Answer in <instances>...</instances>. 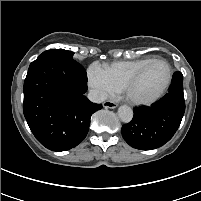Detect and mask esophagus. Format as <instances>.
<instances>
[{"instance_id": "1", "label": "esophagus", "mask_w": 201, "mask_h": 201, "mask_svg": "<svg viewBox=\"0 0 201 201\" xmlns=\"http://www.w3.org/2000/svg\"><path fill=\"white\" fill-rule=\"evenodd\" d=\"M118 105H117V103H115V102H113V101H105L104 103H103V107L104 108H112V109H114V108H116Z\"/></svg>"}]
</instances>
